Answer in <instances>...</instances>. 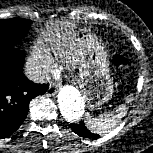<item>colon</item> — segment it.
Segmentation results:
<instances>
[{"label": "colon", "mask_w": 153, "mask_h": 153, "mask_svg": "<svg viewBox=\"0 0 153 153\" xmlns=\"http://www.w3.org/2000/svg\"><path fill=\"white\" fill-rule=\"evenodd\" d=\"M113 62L115 64V66L118 67L119 69H123L127 66L126 58L120 53H115L114 54Z\"/></svg>", "instance_id": "1"}]
</instances>
